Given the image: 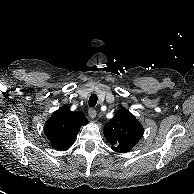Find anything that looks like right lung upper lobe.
Listing matches in <instances>:
<instances>
[{"label":"right lung upper lobe","mask_w":194,"mask_h":194,"mask_svg":"<svg viewBox=\"0 0 194 194\" xmlns=\"http://www.w3.org/2000/svg\"><path fill=\"white\" fill-rule=\"evenodd\" d=\"M88 121L81 112H73L63 106L52 113L44 126V133L57 151H66L74 143L78 131Z\"/></svg>","instance_id":"cb5924a9"}]
</instances>
